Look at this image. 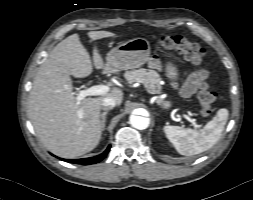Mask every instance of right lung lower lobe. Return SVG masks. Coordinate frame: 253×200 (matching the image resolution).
I'll list each match as a JSON object with an SVG mask.
<instances>
[{"mask_svg": "<svg viewBox=\"0 0 253 200\" xmlns=\"http://www.w3.org/2000/svg\"><path fill=\"white\" fill-rule=\"evenodd\" d=\"M109 150H110V146H108V148L102 154L97 155L95 157L83 158V159H65V161L70 162V163L83 164V165L94 164L101 161L103 158H105Z\"/></svg>", "mask_w": 253, "mask_h": 200, "instance_id": "right-lung-lower-lobe-1", "label": "right lung lower lobe"}]
</instances>
